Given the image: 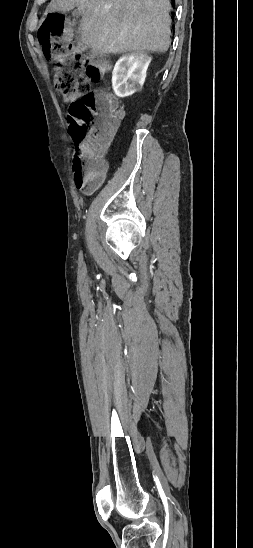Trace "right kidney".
I'll return each instance as SVG.
<instances>
[{"label":"right kidney","instance_id":"obj_1","mask_svg":"<svg viewBox=\"0 0 253 548\" xmlns=\"http://www.w3.org/2000/svg\"><path fill=\"white\" fill-rule=\"evenodd\" d=\"M151 59L146 52H133L123 55L116 62L112 72V87L118 97L131 96L142 88Z\"/></svg>","mask_w":253,"mask_h":548}]
</instances>
